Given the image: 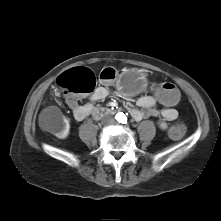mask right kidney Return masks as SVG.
I'll list each match as a JSON object with an SVG mask.
<instances>
[{"instance_id":"obj_1","label":"right kidney","mask_w":221,"mask_h":221,"mask_svg":"<svg viewBox=\"0 0 221 221\" xmlns=\"http://www.w3.org/2000/svg\"><path fill=\"white\" fill-rule=\"evenodd\" d=\"M50 132L59 139H65L70 132V122L66 117L56 120L50 128Z\"/></svg>"}]
</instances>
